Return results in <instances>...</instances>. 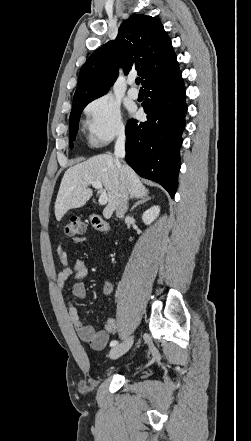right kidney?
<instances>
[{
	"label": "right kidney",
	"mask_w": 251,
	"mask_h": 441,
	"mask_svg": "<svg viewBox=\"0 0 251 441\" xmlns=\"http://www.w3.org/2000/svg\"><path fill=\"white\" fill-rule=\"evenodd\" d=\"M159 213L160 207L153 206L143 213L142 220L146 225H150L159 216Z\"/></svg>",
	"instance_id": "right-kidney-1"
}]
</instances>
